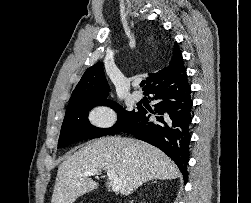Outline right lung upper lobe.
I'll use <instances>...</instances> for the list:
<instances>
[{
  "label": "right lung upper lobe",
  "mask_w": 251,
  "mask_h": 203,
  "mask_svg": "<svg viewBox=\"0 0 251 203\" xmlns=\"http://www.w3.org/2000/svg\"><path fill=\"white\" fill-rule=\"evenodd\" d=\"M182 66V54L178 44L175 43L173 55L168 66L156 73L149 74L144 91L146 92L152 86L160 83ZM108 91L109 87L105 78L103 63L99 62L85 71L80 82L72 92L69 104L104 99L107 97Z\"/></svg>",
  "instance_id": "cb5924a9"
}]
</instances>
